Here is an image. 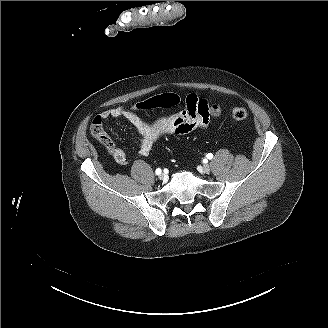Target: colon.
<instances>
[{
    "instance_id": "colon-1",
    "label": "colon",
    "mask_w": 328,
    "mask_h": 328,
    "mask_svg": "<svg viewBox=\"0 0 328 328\" xmlns=\"http://www.w3.org/2000/svg\"><path fill=\"white\" fill-rule=\"evenodd\" d=\"M180 104V98L174 93H165L157 95L146 100L140 101L133 105V109L137 111H149L159 108L175 107ZM232 118L241 121L245 120L248 112L244 107H235L231 112ZM92 136L108 150L113 147V142L103 128V120L96 116L91 123Z\"/></svg>"
}]
</instances>
